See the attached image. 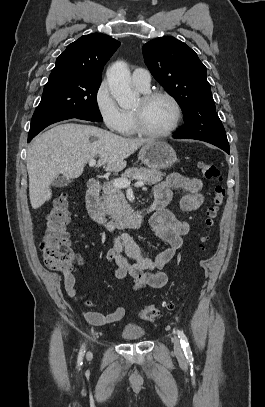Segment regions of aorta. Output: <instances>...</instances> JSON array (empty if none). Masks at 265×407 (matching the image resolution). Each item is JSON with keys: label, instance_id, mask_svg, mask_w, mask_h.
<instances>
[{"label": "aorta", "instance_id": "aorta-1", "mask_svg": "<svg viewBox=\"0 0 265 407\" xmlns=\"http://www.w3.org/2000/svg\"><path fill=\"white\" fill-rule=\"evenodd\" d=\"M107 80L110 92L120 107H132L137 103L139 95L131 89L130 71L124 61H116L108 68Z\"/></svg>", "mask_w": 265, "mask_h": 407}]
</instances>
